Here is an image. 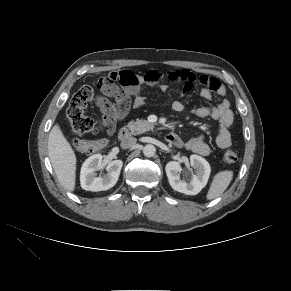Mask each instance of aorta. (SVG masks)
I'll use <instances>...</instances> for the list:
<instances>
[{
  "mask_svg": "<svg viewBox=\"0 0 291 291\" xmlns=\"http://www.w3.org/2000/svg\"><path fill=\"white\" fill-rule=\"evenodd\" d=\"M156 148L152 144H147L143 147V154L146 157H153L155 155Z\"/></svg>",
  "mask_w": 291,
  "mask_h": 291,
  "instance_id": "obj_1",
  "label": "aorta"
}]
</instances>
